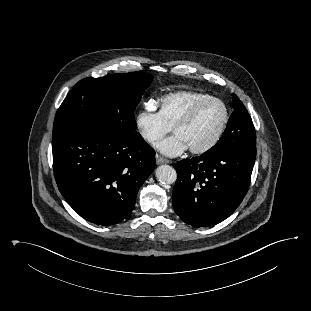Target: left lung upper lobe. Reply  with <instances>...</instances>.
<instances>
[{
	"label": "left lung upper lobe",
	"mask_w": 311,
	"mask_h": 311,
	"mask_svg": "<svg viewBox=\"0 0 311 311\" xmlns=\"http://www.w3.org/2000/svg\"><path fill=\"white\" fill-rule=\"evenodd\" d=\"M234 111L219 141L208 151H220L236 145H256L255 128L247 109L233 94Z\"/></svg>",
	"instance_id": "1"
}]
</instances>
